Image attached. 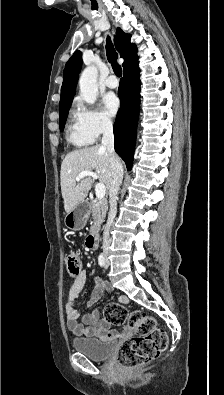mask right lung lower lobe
I'll use <instances>...</instances> for the list:
<instances>
[{"label": "right lung lower lobe", "instance_id": "right-lung-lower-lobe-1", "mask_svg": "<svg viewBox=\"0 0 224 395\" xmlns=\"http://www.w3.org/2000/svg\"><path fill=\"white\" fill-rule=\"evenodd\" d=\"M138 58L124 68V77L120 80L118 96L119 112L114 123L115 151L125 161L130 170L136 138V126L139 113L140 79Z\"/></svg>", "mask_w": 224, "mask_h": 395}]
</instances>
